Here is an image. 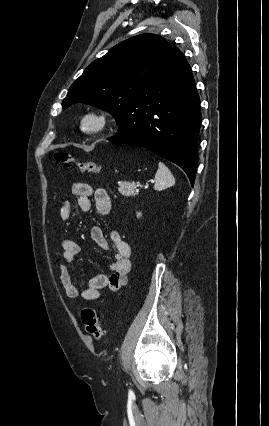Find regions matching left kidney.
I'll return each instance as SVG.
<instances>
[{"instance_id":"5707ae66","label":"left kidney","mask_w":269,"mask_h":426,"mask_svg":"<svg viewBox=\"0 0 269 426\" xmlns=\"http://www.w3.org/2000/svg\"><path fill=\"white\" fill-rule=\"evenodd\" d=\"M137 218H141L142 217V212H136Z\"/></svg>"}]
</instances>
